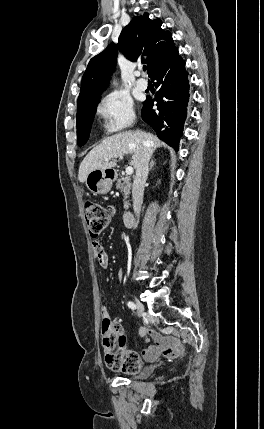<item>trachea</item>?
Here are the masks:
<instances>
[{"label": "trachea", "mask_w": 264, "mask_h": 429, "mask_svg": "<svg viewBox=\"0 0 264 429\" xmlns=\"http://www.w3.org/2000/svg\"><path fill=\"white\" fill-rule=\"evenodd\" d=\"M143 70H144V71H146V70H147V67H146V66H143Z\"/></svg>", "instance_id": "trachea-1"}]
</instances>
